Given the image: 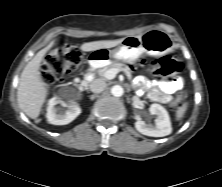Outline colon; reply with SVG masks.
Instances as JSON below:
<instances>
[{"mask_svg":"<svg viewBox=\"0 0 222 187\" xmlns=\"http://www.w3.org/2000/svg\"><path fill=\"white\" fill-rule=\"evenodd\" d=\"M81 51L69 45H61L51 51L45 58L41 69V77L46 84H54L68 73L76 72L82 65ZM181 64L169 57H162L152 63V73L158 77H170L179 73ZM186 99V93L180 92L172 102L179 108Z\"/></svg>","mask_w":222,"mask_h":187,"instance_id":"obj_1","label":"colon"}]
</instances>
